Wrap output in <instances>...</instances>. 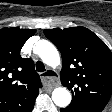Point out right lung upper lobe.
Here are the masks:
<instances>
[{
	"instance_id": "obj_1",
	"label": "right lung upper lobe",
	"mask_w": 112,
	"mask_h": 112,
	"mask_svg": "<svg viewBox=\"0 0 112 112\" xmlns=\"http://www.w3.org/2000/svg\"><path fill=\"white\" fill-rule=\"evenodd\" d=\"M36 30L3 28L0 30V112H31L42 87L30 58L20 50Z\"/></svg>"
}]
</instances>
